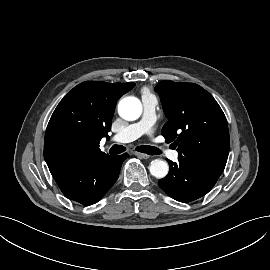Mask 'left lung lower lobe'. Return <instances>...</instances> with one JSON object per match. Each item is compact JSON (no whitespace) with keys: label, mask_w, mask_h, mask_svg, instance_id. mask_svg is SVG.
Masks as SVG:
<instances>
[{"label":"left lung lower lobe","mask_w":270,"mask_h":270,"mask_svg":"<svg viewBox=\"0 0 270 270\" xmlns=\"http://www.w3.org/2000/svg\"><path fill=\"white\" fill-rule=\"evenodd\" d=\"M179 162L169 163L168 175L160 179V188L179 202H190L208 193L224 169L208 163L178 157Z\"/></svg>","instance_id":"obj_1"}]
</instances>
